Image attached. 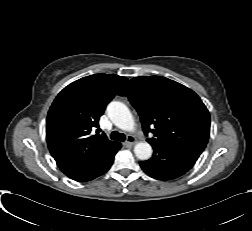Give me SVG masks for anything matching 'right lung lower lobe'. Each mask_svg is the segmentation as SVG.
<instances>
[{
  "mask_svg": "<svg viewBox=\"0 0 252 231\" xmlns=\"http://www.w3.org/2000/svg\"><path fill=\"white\" fill-rule=\"evenodd\" d=\"M112 163H113V160L105 167L104 171L100 175L104 174L110 168V166L112 165Z\"/></svg>",
  "mask_w": 252,
  "mask_h": 231,
  "instance_id": "right-lung-lower-lobe-1",
  "label": "right lung lower lobe"
}]
</instances>
